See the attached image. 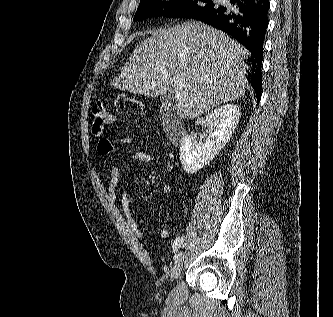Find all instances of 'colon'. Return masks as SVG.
Masks as SVG:
<instances>
[{"instance_id": "5ec220e1", "label": "colon", "mask_w": 333, "mask_h": 317, "mask_svg": "<svg viewBox=\"0 0 333 317\" xmlns=\"http://www.w3.org/2000/svg\"><path fill=\"white\" fill-rule=\"evenodd\" d=\"M93 114L95 117L93 129L95 134L98 136L101 132V128L104 125L112 124L113 122L119 119V117L116 114H113L110 111H108L102 104H98L93 107Z\"/></svg>"}]
</instances>
